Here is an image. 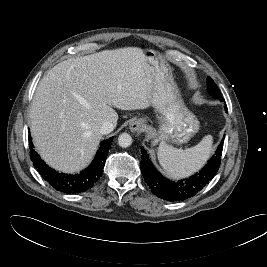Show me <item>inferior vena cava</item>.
Masks as SVG:
<instances>
[{"mask_svg": "<svg viewBox=\"0 0 267 267\" xmlns=\"http://www.w3.org/2000/svg\"><path fill=\"white\" fill-rule=\"evenodd\" d=\"M115 128V125L110 121H105L100 127L101 134H109Z\"/></svg>", "mask_w": 267, "mask_h": 267, "instance_id": "obj_1", "label": "inferior vena cava"}]
</instances>
